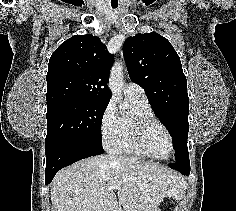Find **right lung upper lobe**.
<instances>
[{
    "label": "right lung upper lobe",
    "mask_w": 236,
    "mask_h": 211,
    "mask_svg": "<svg viewBox=\"0 0 236 211\" xmlns=\"http://www.w3.org/2000/svg\"><path fill=\"white\" fill-rule=\"evenodd\" d=\"M112 65L113 57L98 37L75 35L66 40L49 60L47 107L70 100L109 103Z\"/></svg>",
    "instance_id": "right-lung-upper-lobe-1"
}]
</instances>
